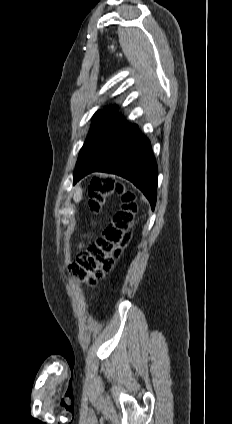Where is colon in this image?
<instances>
[{
  "label": "colon",
  "mask_w": 232,
  "mask_h": 424,
  "mask_svg": "<svg viewBox=\"0 0 232 424\" xmlns=\"http://www.w3.org/2000/svg\"><path fill=\"white\" fill-rule=\"evenodd\" d=\"M114 192L122 196V207L102 236L82 249L70 266L71 275L89 285L97 283L112 269L130 241L129 231L134 224L137 202L136 195L126 190L122 183L109 177H94L88 187L89 210L100 213L106 198Z\"/></svg>",
  "instance_id": "1"
}]
</instances>
